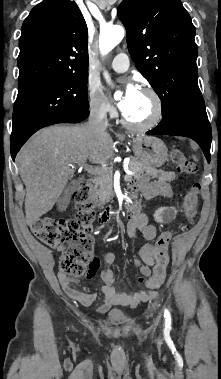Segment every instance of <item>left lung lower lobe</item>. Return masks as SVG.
<instances>
[{
  "mask_svg": "<svg viewBox=\"0 0 221 379\" xmlns=\"http://www.w3.org/2000/svg\"><path fill=\"white\" fill-rule=\"evenodd\" d=\"M150 135L185 136L196 141L202 148L207 161H210L211 125L208 117L187 112L171 111L164 117L157 127L147 132Z\"/></svg>",
  "mask_w": 221,
  "mask_h": 379,
  "instance_id": "0a47b994",
  "label": "left lung lower lobe"
}]
</instances>
